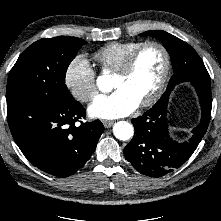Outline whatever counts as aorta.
Wrapping results in <instances>:
<instances>
[{
  "mask_svg": "<svg viewBox=\"0 0 221 221\" xmlns=\"http://www.w3.org/2000/svg\"><path fill=\"white\" fill-rule=\"evenodd\" d=\"M97 86L103 92H108L111 89V83L106 75L99 76L97 79ZM114 136L122 141L129 140L134 134L132 124L127 121H119L113 127Z\"/></svg>",
  "mask_w": 221,
  "mask_h": 221,
  "instance_id": "762f6f07",
  "label": "aorta"
}]
</instances>
